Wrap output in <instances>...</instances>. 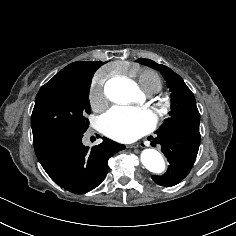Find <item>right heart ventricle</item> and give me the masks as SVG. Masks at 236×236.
<instances>
[{"mask_svg":"<svg viewBox=\"0 0 236 236\" xmlns=\"http://www.w3.org/2000/svg\"><path fill=\"white\" fill-rule=\"evenodd\" d=\"M121 71L125 75L127 81L137 85L147 95L158 92L162 87L160 77L152 70L144 69L128 72L127 68L124 67ZM155 125L156 122L153 127Z\"/></svg>","mask_w":236,"mask_h":236,"instance_id":"right-heart-ventricle-1","label":"right heart ventricle"}]
</instances>
